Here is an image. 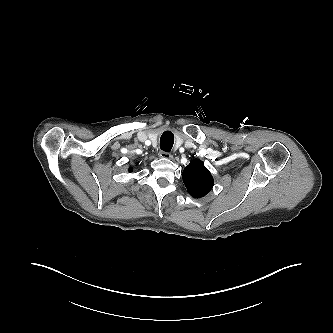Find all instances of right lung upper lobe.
Segmentation results:
<instances>
[{"label": "right lung upper lobe", "instance_id": "right-lung-upper-lobe-1", "mask_svg": "<svg viewBox=\"0 0 333 333\" xmlns=\"http://www.w3.org/2000/svg\"><path fill=\"white\" fill-rule=\"evenodd\" d=\"M129 171L131 172V171H132V168H130Z\"/></svg>", "mask_w": 333, "mask_h": 333}]
</instances>
